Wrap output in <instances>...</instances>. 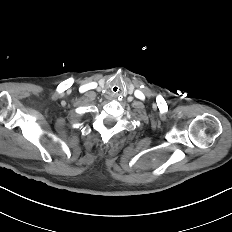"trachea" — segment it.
Here are the masks:
<instances>
[{
  "instance_id": "trachea-1",
  "label": "trachea",
  "mask_w": 232,
  "mask_h": 232,
  "mask_svg": "<svg viewBox=\"0 0 232 232\" xmlns=\"http://www.w3.org/2000/svg\"><path fill=\"white\" fill-rule=\"evenodd\" d=\"M110 90L112 93L118 94L121 91V87L119 85L115 84L111 87Z\"/></svg>"
}]
</instances>
